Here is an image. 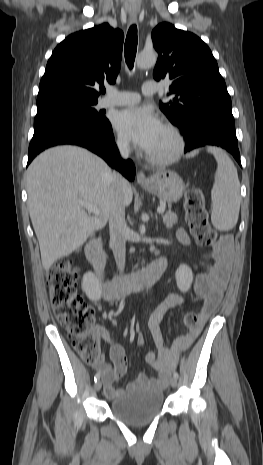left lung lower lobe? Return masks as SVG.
<instances>
[{
	"label": "left lung lower lobe",
	"mask_w": 263,
	"mask_h": 465,
	"mask_svg": "<svg viewBox=\"0 0 263 465\" xmlns=\"http://www.w3.org/2000/svg\"><path fill=\"white\" fill-rule=\"evenodd\" d=\"M185 152L206 145L222 147L241 165L234 118L215 110L205 111L188 130H182Z\"/></svg>",
	"instance_id": "obj_1"
}]
</instances>
